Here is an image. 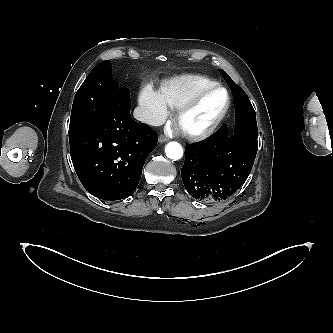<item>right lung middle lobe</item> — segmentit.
Wrapping results in <instances>:
<instances>
[{
    "label": "right lung middle lobe",
    "instance_id": "1",
    "mask_svg": "<svg viewBox=\"0 0 333 333\" xmlns=\"http://www.w3.org/2000/svg\"><path fill=\"white\" fill-rule=\"evenodd\" d=\"M120 89L118 83L112 79L110 62L103 61L96 65L75 95L69 139L91 127L104 114Z\"/></svg>",
    "mask_w": 333,
    "mask_h": 333
}]
</instances>
